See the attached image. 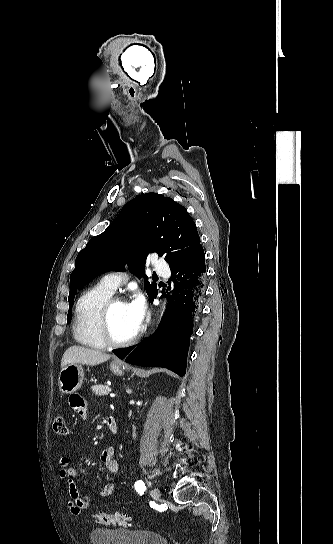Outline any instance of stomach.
Wrapping results in <instances>:
<instances>
[{
	"mask_svg": "<svg viewBox=\"0 0 333 544\" xmlns=\"http://www.w3.org/2000/svg\"><path fill=\"white\" fill-rule=\"evenodd\" d=\"M111 370L116 375H123L124 365L111 364ZM84 370L81 364H68L59 373L58 384L62 393L69 394L78 390L83 383Z\"/></svg>",
	"mask_w": 333,
	"mask_h": 544,
	"instance_id": "0dacf381",
	"label": "stomach"
}]
</instances>
